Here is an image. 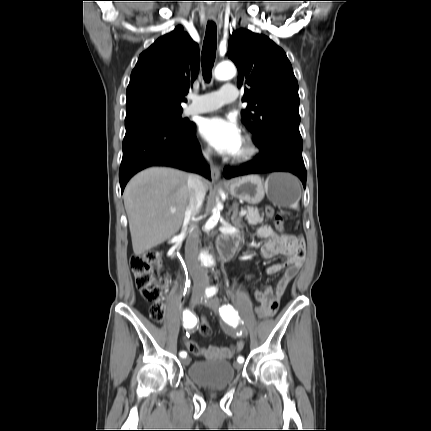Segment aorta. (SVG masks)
<instances>
[{
	"label": "aorta",
	"instance_id": "aorta-1",
	"mask_svg": "<svg viewBox=\"0 0 431 431\" xmlns=\"http://www.w3.org/2000/svg\"><path fill=\"white\" fill-rule=\"evenodd\" d=\"M236 69L235 66L230 62H224L217 65L214 71L215 78L218 80H228L235 76ZM220 208L221 203H217V206L212 214V216L208 219V221L205 223V227L203 228V231L206 234H209L211 231L215 229L216 224L218 223V220L220 218ZM200 262L201 265L205 268H214L215 267V261L212 257V255L208 251H202L200 253Z\"/></svg>",
	"mask_w": 431,
	"mask_h": 431
}]
</instances>
